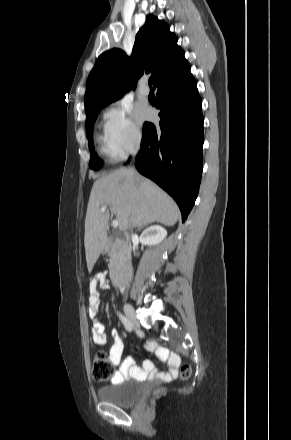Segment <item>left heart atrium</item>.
I'll list each match as a JSON object with an SVG mask.
<instances>
[{
  "label": "left heart atrium",
  "instance_id": "left-heart-atrium-1",
  "mask_svg": "<svg viewBox=\"0 0 291 440\" xmlns=\"http://www.w3.org/2000/svg\"><path fill=\"white\" fill-rule=\"evenodd\" d=\"M136 118L141 121L143 119H147L151 116V112L146 107H140L135 111Z\"/></svg>",
  "mask_w": 291,
  "mask_h": 440
}]
</instances>
